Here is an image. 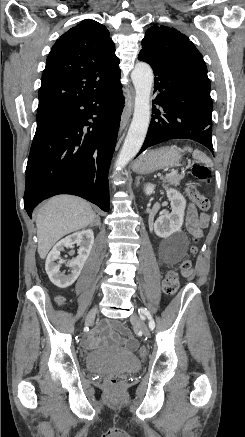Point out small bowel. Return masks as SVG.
Returning <instances> with one entry per match:
<instances>
[{
  "instance_id": "c3829d8e",
  "label": "small bowel",
  "mask_w": 245,
  "mask_h": 437,
  "mask_svg": "<svg viewBox=\"0 0 245 437\" xmlns=\"http://www.w3.org/2000/svg\"><path fill=\"white\" fill-rule=\"evenodd\" d=\"M209 217L207 214H198L194 206H189L185 218V227L189 233L196 237H202L203 229L208 225ZM102 332L114 341L121 342L126 348L133 349L136 347V340L130 335L129 331L125 328L118 327L119 332L124 335L122 338L113 327L105 322L101 325ZM97 343L94 337H89L87 339V344L93 346Z\"/></svg>"
}]
</instances>
